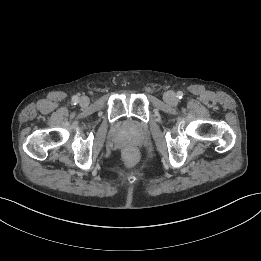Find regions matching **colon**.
<instances>
[{
	"instance_id": "1",
	"label": "colon",
	"mask_w": 261,
	"mask_h": 261,
	"mask_svg": "<svg viewBox=\"0 0 261 261\" xmlns=\"http://www.w3.org/2000/svg\"><path fill=\"white\" fill-rule=\"evenodd\" d=\"M137 156V151L134 148H128L124 152V157L127 162H132Z\"/></svg>"
}]
</instances>
